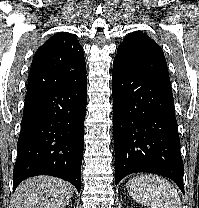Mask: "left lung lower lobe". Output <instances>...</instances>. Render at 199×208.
<instances>
[{"label": "left lung lower lobe", "mask_w": 199, "mask_h": 208, "mask_svg": "<svg viewBox=\"0 0 199 208\" xmlns=\"http://www.w3.org/2000/svg\"><path fill=\"white\" fill-rule=\"evenodd\" d=\"M115 183L136 172L172 179L184 193V166L171 85L114 59Z\"/></svg>", "instance_id": "1"}]
</instances>
